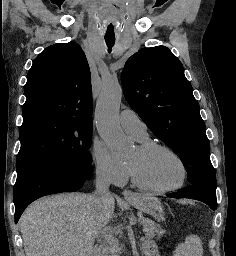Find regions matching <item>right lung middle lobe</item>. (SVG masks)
<instances>
[{"instance_id":"obj_1","label":"right lung middle lobe","mask_w":236,"mask_h":256,"mask_svg":"<svg viewBox=\"0 0 236 256\" xmlns=\"http://www.w3.org/2000/svg\"><path fill=\"white\" fill-rule=\"evenodd\" d=\"M91 137V121L55 116H35L23 120L17 176L42 164L70 161L91 164Z\"/></svg>"}]
</instances>
